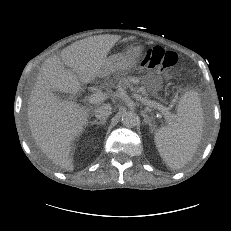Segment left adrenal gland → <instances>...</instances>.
<instances>
[{
  "mask_svg": "<svg viewBox=\"0 0 231 231\" xmlns=\"http://www.w3.org/2000/svg\"><path fill=\"white\" fill-rule=\"evenodd\" d=\"M141 115L144 117V123L146 125H149V128L151 130V132H153V128H154V125L152 123V120L150 119V117H148V115L146 114V111H141Z\"/></svg>",
  "mask_w": 231,
  "mask_h": 231,
  "instance_id": "a2214340",
  "label": "left adrenal gland"
}]
</instances>
